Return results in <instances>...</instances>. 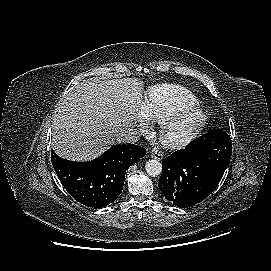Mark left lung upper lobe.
Segmentation results:
<instances>
[{"instance_id":"obj_1","label":"left lung upper lobe","mask_w":271,"mask_h":271,"mask_svg":"<svg viewBox=\"0 0 271 271\" xmlns=\"http://www.w3.org/2000/svg\"><path fill=\"white\" fill-rule=\"evenodd\" d=\"M198 157L203 161L225 171L232 154V144L229 135L216 143L203 144L197 151Z\"/></svg>"}]
</instances>
